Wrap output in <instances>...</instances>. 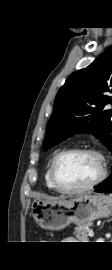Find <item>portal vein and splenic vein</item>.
Masks as SVG:
<instances>
[{
  "label": "portal vein and splenic vein",
  "instance_id": "portal-vein-and-splenic-vein-1",
  "mask_svg": "<svg viewBox=\"0 0 112 270\" xmlns=\"http://www.w3.org/2000/svg\"><path fill=\"white\" fill-rule=\"evenodd\" d=\"M88 235H89L90 237H93L94 232H93L92 230H89Z\"/></svg>",
  "mask_w": 112,
  "mask_h": 270
}]
</instances>
